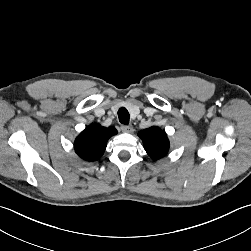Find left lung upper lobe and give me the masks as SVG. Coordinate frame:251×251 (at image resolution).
I'll return each mask as SVG.
<instances>
[{"instance_id": "obj_1", "label": "left lung upper lobe", "mask_w": 251, "mask_h": 251, "mask_svg": "<svg viewBox=\"0 0 251 251\" xmlns=\"http://www.w3.org/2000/svg\"><path fill=\"white\" fill-rule=\"evenodd\" d=\"M142 139L144 149L154 160L164 157L169 150V140L166 133L160 128L153 126L138 133Z\"/></svg>"}]
</instances>
